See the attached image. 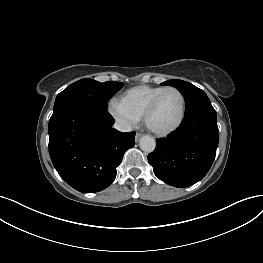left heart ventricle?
<instances>
[{"label":"left heart ventricle","mask_w":263,"mask_h":263,"mask_svg":"<svg viewBox=\"0 0 263 263\" xmlns=\"http://www.w3.org/2000/svg\"><path fill=\"white\" fill-rule=\"evenodd\" d=\"M182 101L176 91L166 92L158 102L149 117V125L157 130H163L174 125L180 117Z\"/></svg>","instance_id":"obj_1"}]
</instances>
